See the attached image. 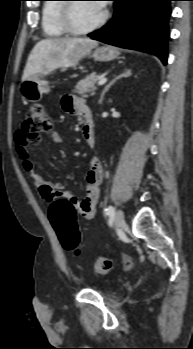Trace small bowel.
<instances>
[{
    "mask_svg": "<svg viewBox=\"0 0 193 349\" xmlns=\"http://www.w3.org/2000/svg\"><path fill=\"white\" fill-rule=\"evenodd\" d=\"M62 109L70 114L81 115L85 118L86 113H90L85 101L75 95H65L61 100ZM83 139L89 147L95 144L92 123L88 124L85 119V124L82 128ZM51 138L62 143V138L57 133L52 134ZM16 151L21 159L24 170L30 175L35 186L43 200L51 204L55 200L65 199L70 201L76 208L77 213L86 220H91L96 212V205L99 198V189L102 181L103 168L98 157H93L89 162V168L85 175L86 194L83 199H79L71 193L64 190L62 184H52L43 179L36 171L31 159L28 141L22 130H18L15 134ZM124 269L129 270L132 266L131 261L126 258L123 261Z\"/></svg>",
    "mask_w": 193,
    "mask_h": 349,
    "instance_id": "1",
    "label": "small bowel"
}]
</instances>
